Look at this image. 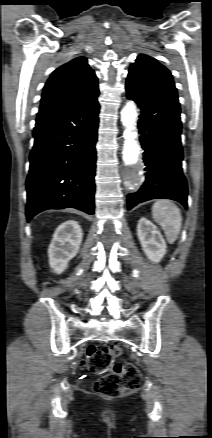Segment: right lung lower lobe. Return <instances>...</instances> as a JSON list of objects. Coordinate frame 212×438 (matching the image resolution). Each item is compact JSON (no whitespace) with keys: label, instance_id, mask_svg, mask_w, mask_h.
<instances>
[{"label":"right lung lower lobe","instance_id":"98d812e1","mask_svg":"<svg viewBox=\"0 0 212 438\" xmlns=\"http://www.w3.org/2000/svg\"><path fill=\"white\" fill-rule=\"evenodd\" d=\"M99 108L96 98L38 113L26 180L28 221L47 209L94 214Z\"/></svg>","mask_w":212,"mask_h":438}]
</instances>
